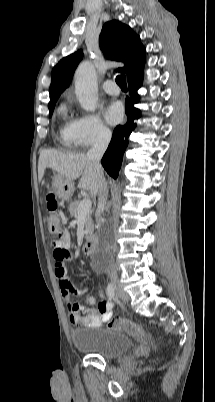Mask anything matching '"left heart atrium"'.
<instances>
[{
    "mask_svg": "<svg viewBox=\"0 0 215 402\" xmlns=\"http://www.w3.org/2000/svg\"><path fill=\"white\" fill-rule=\"evenodd\" d=\"M124 110L121 102L113 101L105 109L104 115L108 123L114 125L123 118Z\"/></svg>",
    "mask_w": 215,
    "mask_h": 402,
    "instance_id": "1",
    "label": "left heart atrium"
}]
</instances>
